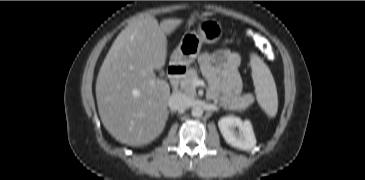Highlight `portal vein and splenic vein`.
Wrapping results in <instances>:
<instances>
[{"label": "portal vein and splenic vein", "mask_w": 365, "mask_h": 180, "mask_svg": "<svg viewBox=\"0 0 365 180\" xmlns=\"http://www.w3.org/2000/svg\"><path fill=\"white\" fill-rule=\"evenodd\" d=\"M197 82H198V79H194L193 85L196 84Z\"/></svg>", "instance_id": "18ae733b"}]
</instances>
